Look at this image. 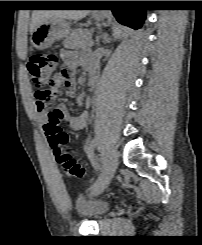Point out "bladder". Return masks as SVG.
I'll return each instance as SVG.
<instances>
[{"instance_id": "obj_1", "label": "bladder", "mask_w": 202, "mask_h": 245, "mask_svg": "<svg viewBox=\"0 0 202 245\" xmlns=\"http://www.w3.org/2000/svg\"><path fill=\"white\" fill-rule=\"evenodd\" d=\"M76 209L81 216L98 221L109 212L110 204L92 195L84 194L77 198Z\"/></svg>"}]
</instances>
